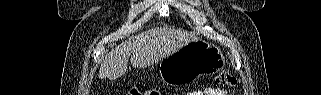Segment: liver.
Segmentation results:
<instances>
[{
	"mask_svg": "<svg viewBox=\"0 0 321 95\" xmlns=\"http://www.w3.org/2000/svg\"><path fill=\"white\" fill-rule=\"evenodd\" d=\"M197 39L193 33L173 28L148 30L112 49L103 60L98 76L116 80L126 73L130 56L133 67L145 68Z\"/></svg>",
	"mask_w": 321,
	"mask_h": 95,
	"instance_id": "1",
	"label": "liver"
}]
</instances>
